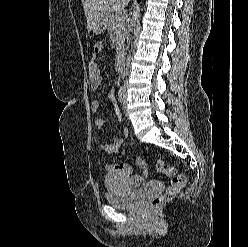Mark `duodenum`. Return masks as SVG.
Here are the masks:
<instances>
[{"label":"duodenum","instance_id":"1","mask_svg":"<svg viewBox=\"0 0 248 247\" xmlns=\"http://www.w3.org/2000/svg\"><path fill=\"white\" fill-rule=\"evenodd\" d=\"M125 69V57L123 54H119L116 59V70L122 73Z\"/></svg>","mask_w":248,"mask_h":247}]
</instances>
